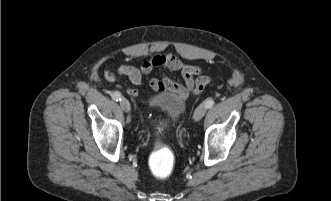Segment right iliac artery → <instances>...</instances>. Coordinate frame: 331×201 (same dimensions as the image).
I'll return each instance as SVG.
<instances>
[{
  "label": "right iliac artery",
  "mask_w": 331,
  "mask_h": 201,
  "mask_svg": "<svg viewBox=\"0 0 331 201\" xmlns=\"http://www.w3.org/2000/svg\"><path fill=\"white\" fill-rule=\"evenodd\" d=\"M111 97H112V99L113 100H115V101H119V100H121V94H120V92H118V91H114L112 94H111Z\"/></svg>",
  "instance_id": "right-iliac-artery-1"
}]
</instances>
